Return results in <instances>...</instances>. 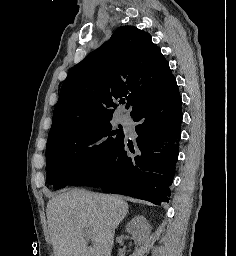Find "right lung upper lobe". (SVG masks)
Returning <instances> with one entry per match:
<instances>
[{"label": "right lung upper lobe", "mask_w": 236, "mask_h": 256, "mask_svg": "<svg viewBox=\"0 0 236 256\" xmlns=\"http://www.w3.org/2000/svg\"><path fill=\"white\" fill-rule=\"evenodd\" d=\"M176 82L149 33L119 27L100 48L75 65L65 79L48 138L72 128L112 119L127 97L130 115L147 99Z\"/></svg>", "instance_id": "right-lung-upper-lobe-1"}]
</instances>
